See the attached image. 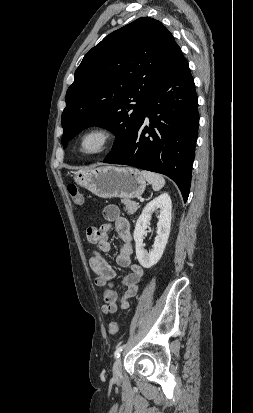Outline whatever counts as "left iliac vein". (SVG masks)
I'll list each match as a JSON object with an SVG mask.
<instances>
[{
  "label": "left iliac vein",
  "instance_id": "1",
  "mask_svg": "<svg viewBox=\"0 0 253 413\" xmlns=\"http://www.w3.org/2000/svg\"><path fill=\"white\" fill-rule=\"evenodd\" d=\"M121 367H122L121 357H117L113 364V377L116 380L121 378V375H122Z\"/></svg>",
  "mask_w": 253,
  "mask_h": 413
}]
</instances>
